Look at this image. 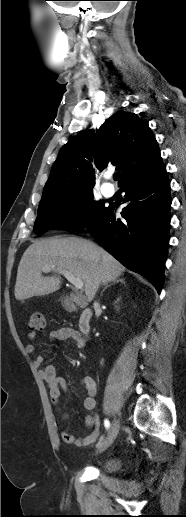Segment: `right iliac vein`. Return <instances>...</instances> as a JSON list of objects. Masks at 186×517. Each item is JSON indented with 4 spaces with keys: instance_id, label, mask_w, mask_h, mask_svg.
I'll return each mask as SVG.
<instances>
[{
    "instance_id": "63e3f726",
    "label": "right iliac vein",
    "mask_w": 186,
    "mask_h": 517,
    "mask_svg": "<svg viewBox=\"0 0 186 517\" xmlns=\"http://www.w3.org/2000/svg\"><path fill=\"white\" fill-rule=\"evenodd\" d=\"M119 429L120 421L119 419L115 418L111 424L107 439L99 446L97 452H103L111 446L119 433Z\"/></svg>"
}]
</instances>
